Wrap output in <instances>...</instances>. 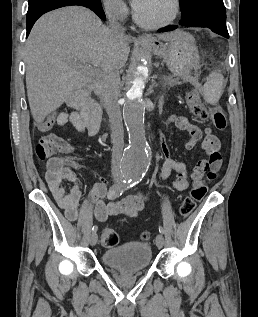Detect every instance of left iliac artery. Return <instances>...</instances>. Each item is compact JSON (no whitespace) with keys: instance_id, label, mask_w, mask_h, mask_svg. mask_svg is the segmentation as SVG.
I'll use <instances>...</instances> for the list:
<instances>
[{"instance_id":"obj_1","label":"left iliac artery","mask_w":258,"mask_h":317,"mask_svg":"<svg viewBox=\"0 0 258 317\" xmlns=\"http://www.w3.org/2000/svg\"><path fill=\"white\" fill-rule=\"evenodd\" d=\"M141 180H142V177H132L131 178V183H132L133 186H136V185H138L141 182ZM159 232L162 235L164 234V229L160 225H159Z\"/></svg>"}]
</instances>
